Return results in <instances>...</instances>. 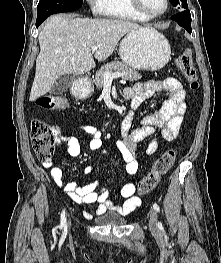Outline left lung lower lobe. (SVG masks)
Here are the masks:
<instances>
[{
	"mask_svg": "<svg viewBox=\"0 0 221 263\" xmlns=\"http://www.w3.org/2000/svg\"><path fill=\"white\" fill-rule=\"evenodd\" d=\"M171 19L176 21L180 26L184 27L187 32L191 33V15L189 10L179 12L173 15Z\"/></svg>",
	"mask_w": 221,
	"mask_h": 263,
	"instance_id": "1",
	"label": "left lung lower lobe"
}]
</instances>
